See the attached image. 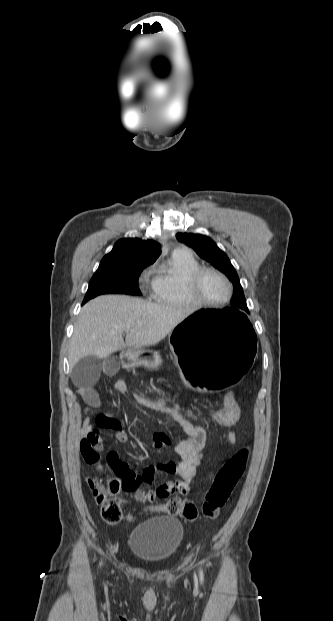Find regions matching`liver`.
<instances>
[{
    "label": "liver",
    "instance_id": "1",
    "mask_svg": "<svg viewBox=\"0 0 333 621\" xmlns=\"http://www.w3.org/2000/svg\"><path fill=\"white\" fill-rule=\"evenodd\" d=\"M191 312L124 295L97 297L84 305L74 325L68 361L99 359L126 347L140 349L159 343ZM125 332V342L123 333Z\"/></svg>",
    "mask_w": 333,
    "mask_h": 621
}]
</instances>
